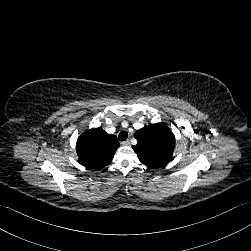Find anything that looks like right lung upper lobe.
I'll return each mask as SVG.
<instances>
[{
  "label": "right lung upper lobe",
  "mask_w": 251,
  "mask_h": 251,
  "mask_svg": "<svg viewBox=\"0 0 251 251\" xmlns=\"http://www.w3.org/2000/svg\"><path fill=\"white\" fill-rule=\"evenodd\" d=\"M119 146L115 135L107 134L102 128H93L77 140L78 162L89 169H102L110 164Z\"/></svg>",
  "instance_id": "1"
}]
</instances>
